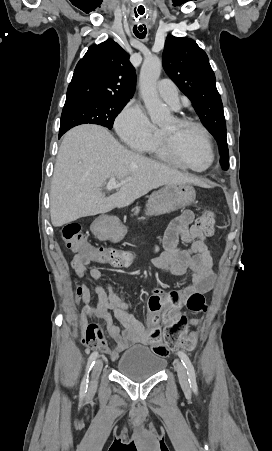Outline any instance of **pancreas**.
Here are the masks:
<instances>
[{
  "label": "pancreas",
  "mask_w": 272,
  "mask_h": 451,
  "mask_svg": "<svg viewBox=\"0 0 272 451\" xmlns=\"http://www.w3.org/2000/svg\"><path fill=\"white\" fill-rule=\"evenodd\" d=\"M139 208H135V214H138Z\"/></svg>",
  "instance_id": "pancreas-1"
}]
</instances>
